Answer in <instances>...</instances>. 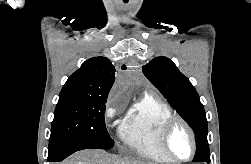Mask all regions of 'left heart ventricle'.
Wrapping results in <instances>:
<instances>
[{"mask_svg": "<svg viewBox=\"0 0 251 164\" xmlns=\"http://www.w3.org/2000/svg\"><path fill=\"white\" fill-rule=\"evenodd\" d=\"M168 146L171 153L178 158H187L192 149L191 139L184 127L178 125L172 131Z\"/></svg>", "mask_w": 251, "mask_h": 164, "instance_id": "left-heart-ventricle-1", "label": "left heart ventricle"}]
</instances>
